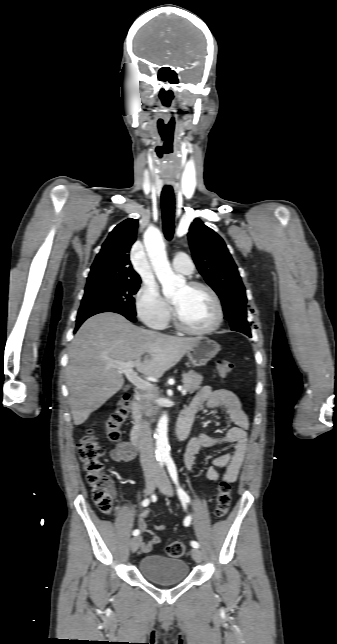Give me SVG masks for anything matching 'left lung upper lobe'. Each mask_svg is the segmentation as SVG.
<instances>
[{"mask_svg": "<svg viewBox=\"0 0 337 644\" xmlns=\"http://www.w3.org/2000/svg\"><path fill=\"white\" fill-rule=\"evenodd\" d=\"M188 239L196 267L220 297L232 330L251 337L245 288L223 239L199 218L191 224Z\"/></svg>", "mask_w": 337, "mask_h": 644, "instance_id": "5c2ea615", "label": "left lung upper lobe"}]
</instances>
